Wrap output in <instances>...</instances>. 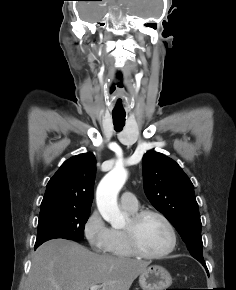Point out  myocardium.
Masks as SVG:
<instances>
[{
  "label": "myocardium",
  "instance_id": "1",
  "mask_svg": "<svg viewBox=\"0 0 236 290\" xmlns=\"http://www.w3.org/2000/svg\"><path fill=\"white\" fill-rule=\"evenodd\" d=\"M147 216L158 217L167 227L170 234V244L168 248L160 253L150 254L145 252L138 242L137 229L141 221ZM131 225L129 228L124 230V235L129 246L130 251L136 257L157 260L162 259L170 255L177 246V233L174 225L168 219V217L162 212L155 209H142L134 212L130 217Z\"/></svg>",
  "mask_w": 236,
  "mask_h": 290
}]
</instances>
